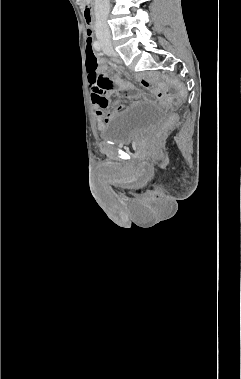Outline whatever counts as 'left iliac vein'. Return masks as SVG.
Masks as SVG:
<instances>
[{
  "instance_id": "1",
  "label": "left iliac vein",
  "mask_w": 241,
  "mask_h": 379,
  "mask_svg": "<svg viewBox=\"0 0 241 379\" xmlns=\"http://www.w3.org/2000/svg\"><path fill=\"white\" fill-rule=\"evenodd\" d=\"M103 51L107 54V55H109V56H113V55H115L114 54V52L112 51V50H109V49H107V48H103Z\"/></svg>"
}]
</instances>
